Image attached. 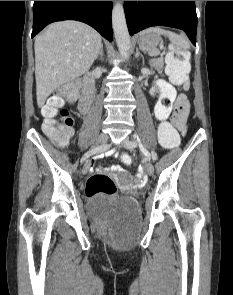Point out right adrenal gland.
<instances>
[{
	"label": "right adrenal gland",
	"instance_id": "right-adrenal-gland-1",
	"mask_svg": "<svg viewBox=\"0 0 233 295\" xmlns=\"http://www.w3.org/2000/svg\"><path fill=\"white\" fill-rule=\"evenodd\" d=\"M98 57H100V60H103V45L101 46L100 52H99V56H97L96 59H98Z\"/></svg>",
	"mask_w": 233,
	"mask_h": 295
}]
</instances>
